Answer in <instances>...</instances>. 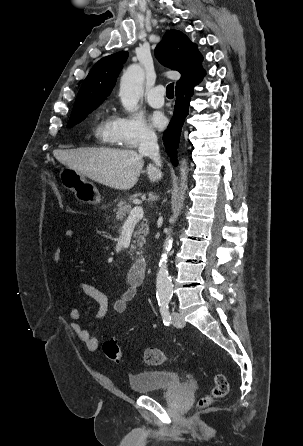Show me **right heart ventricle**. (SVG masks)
<instances>
[{"label":"right heart ventricle","mask_w":303,"mask_h":446,"mask_svg":"<svg viewBox=\"0 0 303 446\" xmlns=\"http://www.w3.org/2000/svg\"><path fill=\"white\" fill-rule=\"evenodd\" d=\"M114 118L109 115H102L98 118L94 127V136L96 140L102 145L116 144L114 138Z\"/></svg>","instance_id":"obj_1"}]
</instances>
